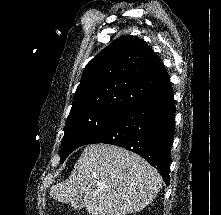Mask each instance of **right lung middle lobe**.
Returning a JSON list of instances; mask_svg holds the SVG:
<instances>
[{
	"label": "right lung middle lobe",
	"instance_id": "1",
	"mask_svg": "<svg viewBox=\"0 0 221 215\" xmlns=\"http://www.w3.org/2000/svg\"><path fill=\"white\" fill-rule=\"evenodd\" d=\"M120 114L103 110H85L69 114L61 143V163L67 156L119 118Z\"/></svg>",
	"mask_w": 221,
	"mask_h": 215
}]
</instances>
